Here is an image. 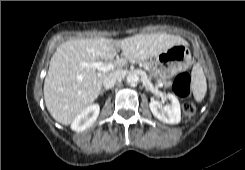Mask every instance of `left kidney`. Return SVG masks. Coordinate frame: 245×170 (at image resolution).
<instances>
[{
  "instance_id": "obj_1",
  "label": "left kidney",
  "mask_w": 245,
  "mask_h": 170,
  "mask_svg": "<svg viewBox=\"0 0 245 170\" xmlns=\"http://www.w3.org/2000/svg\"><path fill=\"white\" fill-rule=\"evenodd\" d=\"M171 105L162 106L158 101H151L149 104L153 115L160 121L168 124H178L181 121L180 103L173 94H167Z\"/></svg>"
}]
</instances>
